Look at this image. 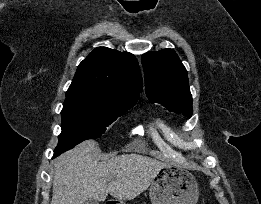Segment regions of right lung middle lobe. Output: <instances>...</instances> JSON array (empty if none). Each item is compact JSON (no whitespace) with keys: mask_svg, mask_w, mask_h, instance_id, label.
Listing matches in <instances>:
<instances>
[{"mask_svg":"<svg viewBox=\"0 0 261 204\" xmlns=\"http://www.w3.org/2000/svg\"><path fill=\"white\" fill-rule=\"evenodd\" d=\"M135 104L100 103L89 96L66 97L61 111L62 132L54 152L61 154L84 140L100 137L113 121Z\"/></svg>","mask_w":261,"mask_h":204,"instance_id":"dd1d6c3e","label":"right lung middle lobe"}]
</instances>
